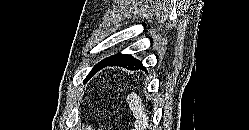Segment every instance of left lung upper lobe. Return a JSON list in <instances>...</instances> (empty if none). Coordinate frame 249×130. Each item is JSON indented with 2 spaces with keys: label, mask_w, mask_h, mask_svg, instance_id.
<instances>
[{
  "label": "left lung upper lobe",
  "mask_w": 249,
  "mask_h": 130,
  "mask_svg": "<svg viewBox=\"0 0 249 130\" xmlns=\"http://www.w3.org/2000/svg\"><path fill=\"white\" fill-rule=\"evenodd\" d=\"M114 56H116V55H113V56H110V57H108V58H106V59H103L101 62H99L98 64H96V65L93 67V69L91 70V72L87 75V77L85 78L84 81L86 82L87 80H89V79L92 77V75L96 72V70H97L100 66H102L107 60L113 58Z\"/></svg>",
  "instance_id": "5c2ea615"
}]
</instances>
